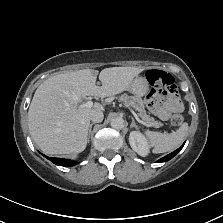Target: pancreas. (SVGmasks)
I'll return each instance as SVG.
<instances>
[{
    "label": "pancreas",
    "mask_w": 223,
    "mask_h": 223,
    "mask_svg": "<svg viewBox=\"0 0 223 223\" xmlns=\"http://www.w3.org/2000/svg\"><path fill=\"white\" fill-rule=\"evenodd\" d=\"M116 100L118 102H123L125 105H131L136 111H138V115L145 123L147 121L152 122V127L158 128L162 126L161 122L146 114L143 102L138 101L134 98V96H129L127 93H122L116 96Z\"/></svg>",
    "instance_id": "cf45deb5"
}]
</instances>
